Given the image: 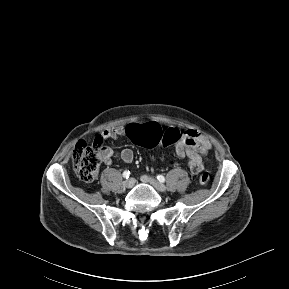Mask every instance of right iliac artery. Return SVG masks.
Listing matches in <instances>:
<instances>
[{"instance_id":"82829eb1","label":"right iliac artery","mask_w":289,"mask_h":289,"mask_svg":"<svg viewBox=\"0 0 289 289\" xmlns=\"http://www.w3.org/2000/svg\"><path fill=\"white\" fill-rule=\"evenodd\" d=\"M129 176H130V171L129 170H125L123 172V177L127 179V178H129Z\"/></svg>"}]
</instances>
